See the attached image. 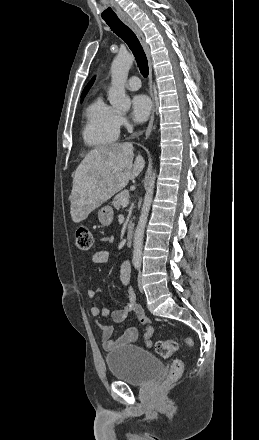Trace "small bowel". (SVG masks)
Instances as JSON below:
<instances>
[{
	"mask_svg": "<svg viewBox=\"0 0 259 440\" xmlns=\"http://www.w3.org/2000/svg\"><path fill=\"white\" fill-rule=\"evenodd\" d=\"M102 241L107 243H112L114 237H104ZM93 262L98 264H105L109 260V252L106 250H99L95 252L92 258ZM119 279L121 283L128 286V299L124 307L114 308L113 311L109 307L93 305L90 308L91 315L97 319L109 318L113 323L124 322L129 314L133 313L136 319L145 327V339L146 344L151 346L150 338L153 334L152 321L148 318L143 308L137 303L136 295L132 287H130L131 282V266L128 261L122 262L119 270ZM101 289H89L86 292L88 298H95ZM101 331V341L104 349L112 350L121 346L129 345L135 342L138 338V331L136 327H128L120 337H113L114 328L112 325L99 324Z\"/></svg>",
	"mask_w": 259,
	"mask_h": 440,
	"instance_id": "c3829d8e",
	"label": "small bowel"
}]
</instances>
